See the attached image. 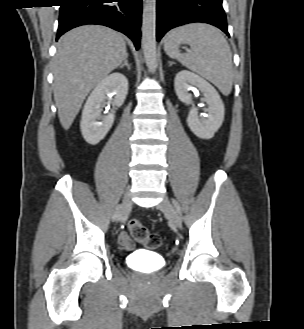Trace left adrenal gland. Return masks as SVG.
<instances>
[{"mask_svg": "<svg viewBox=\"0 0 304 329\" xmlns=\"http://www.w3.org/2000/svg\"><path fill=\"white\" fill-rule=\"evenodd\" d=\"M169 63V66H172L174 63L173 62H171V61H169L168 62Z\"/></svg>", "mask_w": 304, "mask_h": 329, "instance_id": "1", "label": "left adrenal gland"}]
</instances>
